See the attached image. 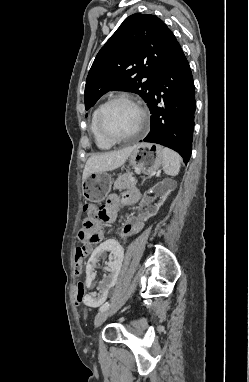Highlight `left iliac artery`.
Returning <instances> with one entry per match:
<instances>
[{"label": "left iliac artery", "instance_id": "obj_1", "mask_svg": "<svg viewBox=\"0 0 249 382\" xmlns=\"http://www.w3.org/2000/svg\"><path fill=\"white\" fill-rule=\"evenodd\" d=\"M109 308V302H106L100 307V311L107 310Z\"/></svg>", "mask_w": 249, "mask_h": 382}]
</instances>
